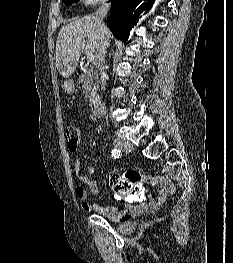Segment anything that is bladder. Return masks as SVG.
Returning <instances> with one entry per match:
<instances>
[{
    "label": "bladder",
    "instance_id": "1",
    "mask_svg": "<svg viewBox=\"0 0 233 263\" xmlns=\"http://www.w3.org/2000/svg\"><path fill=\"white\" fill-rule=\"evenodd\" d=\"M118 230L122 233H129L131 232L132 228H133V223L132 221L128 220L125 222H121L118 226H117Z\"/></svg>",
    "mask_w": 233,
    "mask_h": 263
}]
</instances>
